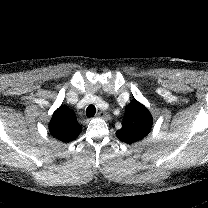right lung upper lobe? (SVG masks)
Here are the masks:
<instances>
[{
    "label": "right lung upper lobe",
    "mask_w": 208,
    "mask_h": 208,
    "mask_svg": "<svg viewBox=\"0 0 208 208\" xmlns=\"http://www.w3.org/2000/svg\"><path fill=\"white\" fill-rule=\"evenodd\" d=\"M81 129L82 127L77 122L74 111L65 105L60 106L53 113L49 123L51 134L64 143L76 139Z\"/></svg>",
    "instance_id": "obj_1"
}]
</instances>
